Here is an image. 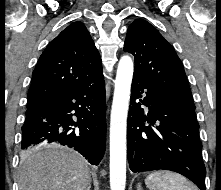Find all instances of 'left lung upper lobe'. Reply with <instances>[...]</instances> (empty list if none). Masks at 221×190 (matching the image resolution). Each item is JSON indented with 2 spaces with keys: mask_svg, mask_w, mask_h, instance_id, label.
Masks as SVG:
<instances>
[{
  "mask_svg": "<svg viewBox=\"0 0 221 190\" xmlns=\"http://www.w3.org/2000/svg\"><path fill=\"white\" fill-rule=\"evenodd\" d=\"M123 49L134 55V76L156 87L178 105L195 110L182 62L154 26L136 19L127 30Z\"/></svg>",
  "mask_w": 221,
  "mask_h": 190,
  "instance_id": "5c2ea615",
  "label": "left lung upper lobe"
}]
</instances>
